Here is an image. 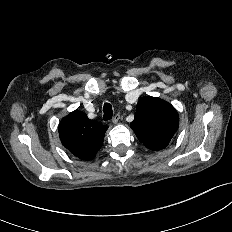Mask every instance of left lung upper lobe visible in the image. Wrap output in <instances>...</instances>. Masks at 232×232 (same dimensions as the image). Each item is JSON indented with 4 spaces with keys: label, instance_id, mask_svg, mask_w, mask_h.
<instances>
[{
    "label": "left lung upper lobe",
    "instance_id": "left-lung-upper-lobe-1",
    "mask_svg": "<svg viewBox=\"0 0 232 232\" xmlns=\"http://www.w3.org/2000/svg\"><path fill=\"white\" fill-rule=\"evenodd\" d=\"M178 122V113L171 104L148 96L139 100L130 126L140 142L158 151L168 146L178 129Z\"/></svg>",
    "mask_w": 232,
    "mask_h": 232
}]
</instances>
